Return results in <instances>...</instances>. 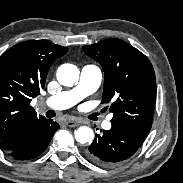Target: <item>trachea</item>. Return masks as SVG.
<instances>
[{
  "label": "trachea",
  "mask_w": 183,
  "mask_h": 183,
  "mask_svg": "<svg viewBox=\"0 0 183 183\" xmlns=\"http://www.w3.org/2000/svg\"><path fill=\"white\" fill-rule=\"evenodd\" d=\"M46 116H47L48 118H52V117H55V116H56V113H55L53 110H48V111L46 112Z\"/></svg>",
  "instance_id": "3493384b"
}]
</instances>
